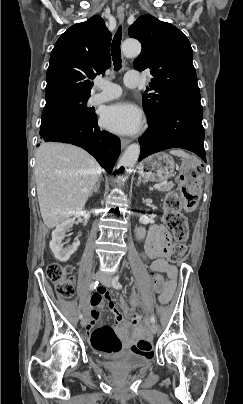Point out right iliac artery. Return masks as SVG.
I'll return each mask as SVG.
<instances>
[{
    "label": "right iliac artery",
    "instance_id": "82829eb1",
    "mask_svg": "<svg viewBox=\"0 0 243 404\" xmlns=\"http://www.w3.org/2000/svg\"><path fill=\"white\" fill-rule=\"evenodd\" d=\"M98 284H99L98 281L92 282L89 287L90 291H93L98 286ZM79 318L80 319L83 318V315L81 313L79 314Z\"/></svg>",
    "mask_w": 243,
    "mask_h": 404
}]
</instances>
